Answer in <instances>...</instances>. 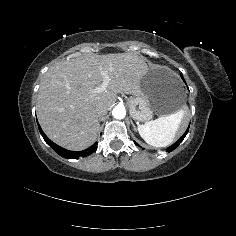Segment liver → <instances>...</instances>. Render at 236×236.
I'll return each mask as SVG.
<instances>
[{
	"label": "liver",
	"mask_w": 236,
	"mask_h": 236,
	"mask_svg": "<svg viewBox=\"0 0 236 236\" xmlns=\"http://www.w3.org/2000/svg\"><path fill=\"white\" fill-rule=\"evenodd\" d=\"M147 63L133 53L97 55L86 53L58 62L44 74L37 96V117L45 134L56 144L80 151L97 139L100 124L96 109L104 114L112 108L118 93L136 95ZM110 78L106 91L94 93Z\"/></svg>",
	"instance_id": "1"
}]
</instances>
